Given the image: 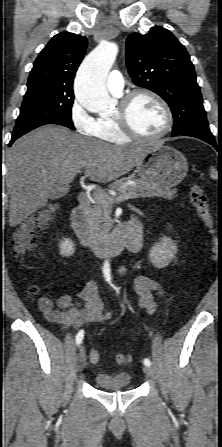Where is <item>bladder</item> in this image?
<instances>
[{
    "label": "bladder",
    "instance_id": "31cf9c89",
    "mask_svg": "<svg viewBox=\"0 0 222 447\" xmlns=\"http://www.w3.org/2000/svg\"><path fill=\"white\" fill-rule=\"evenodd\" d=\"M131 376L126 371L98 372L94 376L95 384L105 391H118L129 389Z\"/></svg>",
    "mask_w": 222,
    "mask_h": 447
}]
</instances>
